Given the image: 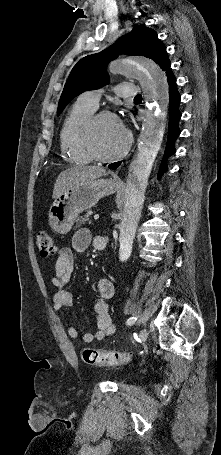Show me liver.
<instances>
[{
    "label": "liver",
    "mask_w": 221,
    "mask_h": 455,
    "mask_svg": "<svg viewBox=\"0 0 221 455\" xmlns=\"http://www.w3.org/2000/svg\"><path fill=\"white\" fill-rule=\"evenodd\" d=\"M106 170L101 166H73L60 173L53 189L52 198H58L68 188L81 182L91 181L106 175Z\"/></svg>",
    "instance_id": "obj_1"
}]
</instances>
